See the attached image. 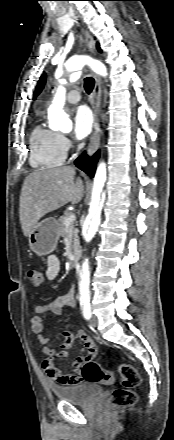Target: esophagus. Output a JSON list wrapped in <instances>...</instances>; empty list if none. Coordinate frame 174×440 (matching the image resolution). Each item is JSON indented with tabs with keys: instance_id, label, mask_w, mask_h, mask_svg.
Wrapping results in <instances>:
<instances>
[{
	"instance_id": "1",
	"label": "esophagus",
	"mask_w": 174,
	"mask_h": 440,
	"mask_svg": "<svg viewBox=\"0 0 174 440\" xmlns=\"http://www.w3.org/2000/svg\"><path fill=\"white\" fill-rule=\"evenodd\" d=\"M85 42L89 49V51L93 54L94 53V42L92 37L89 33L85 32ZM101 95H102V88H101V80L100 77L95 75V86L93 90V100H92V108H93V114H94V127H93V133L90 137V142L88 146V155L92 156L98 149L100 145V137H101V129L99 125V109L101 104Z\"/></svg>"
}]
</instances>
